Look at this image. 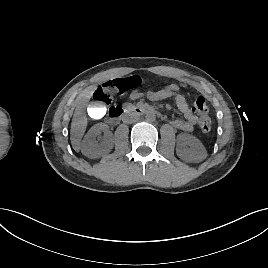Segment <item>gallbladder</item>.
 <instances>
[{
    "instance_id": "obj_1",
    "label": "gallbladder",
    "mask_w": 268,
    "mask_h": 268,
    "mask_svg": "<svg viewBox=\"0 0 268 268\" xmlns=\"http://www.w3.org/2000/svg\"><path fill=\"white\" fill-rule=\"evenodd\" d=\"M88 111L91 117L97 119L103 116L105 109L102 103L96 101L90 104Z\"/></svg>"
}]
</instances>
